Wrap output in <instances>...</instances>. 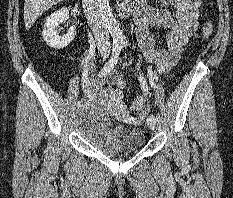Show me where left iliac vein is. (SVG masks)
Wrapping results in <instances>:
<instances>
[{"label": "left iliac vein", "instance_id": "left-iliac-vein-1", "mask_svg": "<svg viewBox=\"0 0 233 198\" xmlns=\"http://www.w3.org/2000/svg\"><path fill=\"white\" fill-rule=\"evenodd\" d=\"M147 125L151 130H154L156 127V122L149 117L147 119Z\"/></svg>", "mask_w": 233, "mask_h": 198}]
</instances>
